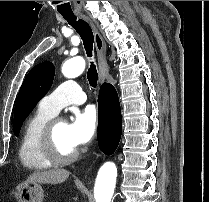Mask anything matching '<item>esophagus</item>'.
Masks as SVG:
<instances>
[{"instance_id": "34e87169", "label": "esophagus", "mask_w": 209, "mask_h": 202, "mask_svg": "<svg viewBox=\"0 0 209 202\" xmlns=\"http://www.w3.org/2000/svg\"><path fill=\"white\" fill-rule=\"evenodd\" d=\"M81 16L90 25L94 34V41L97 51V58H98L99 80L102 82L105 80L106 76L108 75L106 44L102 36L98 32L95 24L92 22V20L85 15H81Z\"/></svg>"}]
</instances>
